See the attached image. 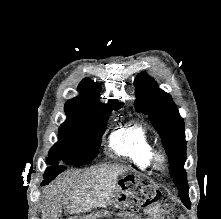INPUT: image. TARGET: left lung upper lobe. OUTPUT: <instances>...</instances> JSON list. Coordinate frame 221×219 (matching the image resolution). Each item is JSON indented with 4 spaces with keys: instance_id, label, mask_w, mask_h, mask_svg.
Segmentation results:
<instances>
[{
    "instance_id": "1",
    "label": "left lung upper lobe",
    "mask_w": 221,
    "mask_h": 219,
    "mask_svg": "<svg viewBox=\"0 0 221 219\" xmlns=\"http://www.w3.org/2000/svg\"><path fill=\"white\" fill-rule=\"evenodd\" d=\"M138 112L148 115L149 120L162 138V143L169 157V171L176 184L181 201L187 208L188 184L184 164L186 161V141L184 122L171 96L157 87L146 73H140L135 79Z\"/></svg>"
}]
</instances>
